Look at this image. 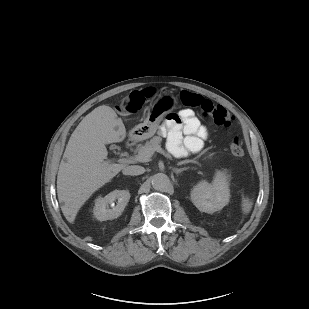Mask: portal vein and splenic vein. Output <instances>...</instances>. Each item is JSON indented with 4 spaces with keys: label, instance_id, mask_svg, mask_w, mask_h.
I'll return each instance as SVG.
<instances>
[{
    "label": "portal vein and splenic vein",
    "instance_id": "1",
    "mask_svg": "<svg viewBox=\"0 0 309 309\" xmlns=\"http://www.w3.org/2000/svg\"><path fill=\"white\" fill-rule=\"evenodd\" d=\"M155 151L161 154H165L164 150H162L161 147L156 148ZM153 153L154 152H150V151L139 152L137 155L134 156V160L139 161V162H147L150 160V157L153 155ZM189 162L196 163L195 161H192V160H190Z\"/></svg>",
    "mask_w": 309,
    "mask_h": 309
}]
</instances>
